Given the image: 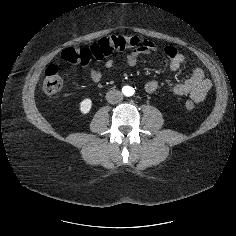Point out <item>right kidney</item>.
<instances>
[{"label":"right kidney","instance_id":"obj_1","mask_svg":"<svg viewBox=\"0 0 236 236\" xmlns=\"http://www.w3.org/2000/svg\"><path fill=\"white\" fill-rule=\"evenodd\" d=\"M92 107V101L90 98H86L80 102V112L82 114H88Z\"/></svg>","mask_w":236,"mask_h":236}]
</instances>
